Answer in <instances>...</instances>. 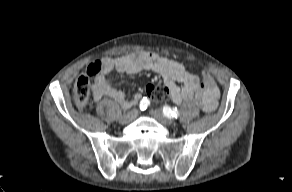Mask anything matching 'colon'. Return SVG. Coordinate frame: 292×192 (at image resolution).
Instances as JSON below:
<instances>
[{
  "label": "colon",
  "mask_w": 292,
  "mask_h": 192,
  "mask_svg": "<svg viewBox=\"0 0 292 192\" xmlns=\"http://www.w3.org/2000/svg\"><path fill=\"white\" fill-rule=\"evenodd\" d=\"M102 61L92 62L75 82L73 88V98L77 107L83 108L87 105L90 94V81L92 78L101 74L104 70ZM147 96L156 102L165 101L170 98L169 91L162 86L148 85L146 87Z\"/></svg>",
  "instance_id": "1"
}]
</instances>
